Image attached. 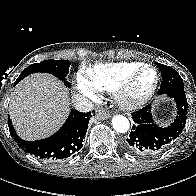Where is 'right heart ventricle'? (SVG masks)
I'll return each mask as SVG.
<instances>
[{"label": "right heart ventricle", "mask_w": 196, "mask_h": 196, "mask_svg": "<svg viewBox=\"0 0 196 196\" xmlns=\"http://www.w3.org/2000/svg\"><path fill=\"white\" fill-rule=\"evenodd\" d=\"M142 65V62L97 64L88 69L87 77L97 90L114 92L128 75Z\"/></svg>", "instance_id": "right-heart-ventricle-1"}]
</instances>
